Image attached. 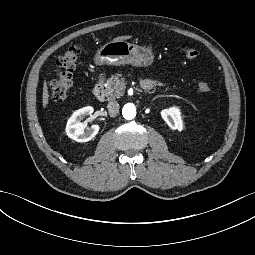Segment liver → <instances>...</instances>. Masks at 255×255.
Masks as SVG:
<instances>
[{"label": "liver", "instance_id": "6515ba94", "mask_svg": "<svg viewBox=\"0 0 255 255\" xmlns=\"http://www.w3.org/2000/svg\"><path fill=\"white\" fill-rule=\"evenodd\" d=\"M131 36L127 35V36H120V37H116L113 39V41H119V40H127V39H130ZM48 98H49V94H48V87H47V83L46 81L44 82V85H43V99H42V102H43V107L45 108L48 104Z\"/></svg>", "mask_w": 255, "mask_h": 255}]
</instances>
